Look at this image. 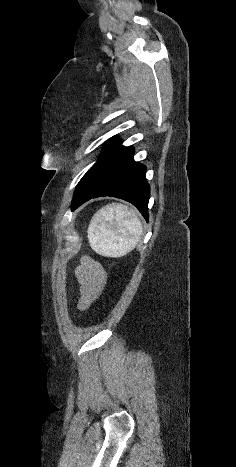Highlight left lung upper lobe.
<instances>
[{
  "label": "left lung upper lobe",
  "instance_id": "obj_1",
  "mask_svg": "<svg viewBox=\"0 0 236 467\" xmlns=\"http://www.w3.org/2000/svg\"><path fill=\"white\" fill-rule=\"evenodd\" d=\"M116 140V138H112L111 141H109V144H112L114 141ZM98 163V161L87 171V173L82 177V179L80 180V182L78 183L77 187H76V190L75 192L79 189V187L85 182V180L88 178V176L90 175V173L93 171L94 167L96 166V164Z\"/></svg>",
  "mask_w": 236,
  "mask_h": 467
}]
</instances>
